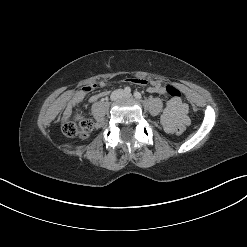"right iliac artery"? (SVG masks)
Here are the masks:
<instances>
[{"mask_svg":"<svg viewBox=\"0 0 247 247\" xmlns=\"http://www.w3.org/2000/svg\"><path fill=\"white\" fill-rule=\"evenodd\" d=\"M124 92H125V93H130V92H131L130 87H125Z\"/></svg>","mask_w":247,"mask_h":247,"instance_id":"1","label":"right iliac artery"}]
</instances>
